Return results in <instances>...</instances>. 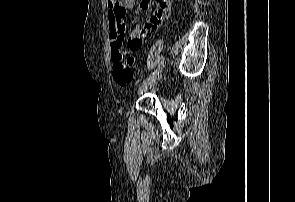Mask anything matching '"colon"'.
Wrapping results in <instances>:
<instances>
[{
  "label": "colon",
  "mask_w": 295,
  "mask_h": 202,
  "mask_svg": "<svg viewBox=\"0 0 295 202\" xmlns=\"http://www.w3.org/2000/svg\"><path fill=\"white\" fill-rule=\"evenodd\" d=\"M113 78L117 85L127 86L133 80V73L130 69V58L126 57V52L118 51L114 54Z\"/></svg>",
  "instance_id": "obj_1"
}]
</instances>
